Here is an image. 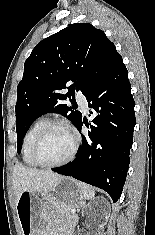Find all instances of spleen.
Returning a JSON list of instances; mask_svg holds the SVG:
<instances>
[{"label": "spleen", "mask_w": 155, "mask_h": 235, "mask_svg": "<svg viewBox=\"0 0 155 235\" xmlns=\"http://www.w3.org/2000/svg\"><path fill=\"white\" fill-rule=\"evenodd\" d=\"M78 186L81 189L85 199H92L95 196V191L92 187L83 182H78Z\"/></svg>", "instance_id": "obj_1"}]
</instances>
